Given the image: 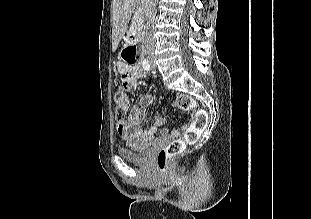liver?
<instances>
[{
	"instance_id": "6515ba94",
	"label": "liver",
	"mask_w": 311,
	"mask_h": 219,
	"mask_svg": "<svg viewBox=\"0 0 311 219\" xmlns=\"http://www.w3.org/2000/svg\"><path fill=\"white\" fill-rule=\"evenodd\" d=\"M136 2L137 0H112V46L114 51L128 29V24L135 9Z\"/></svg>"
}]
</instances>
